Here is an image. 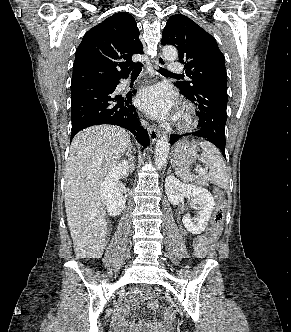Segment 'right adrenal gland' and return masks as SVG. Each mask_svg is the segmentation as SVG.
I'll return each instance as SVG.
<instances>
[{
    "instance_id": "2a0ac1e0",
    "label": "right adrenal gland",
    "mask_w": 291,
    "mask_h": 332,
    "mask_svg": "<svg viewBox=\"0 0 291 332\" xmlns=\"http://www.w3.org/2000/svg\"><path fill=\"white\" fill-rule=\"evenodd\" d=\"M131 150H132V146L130 144L129 147H128L127 155L130 157L129 160L131 161L132 170H133L135 168V165H134V156H132V151Z\"/></svg>"
}]
</instances>
